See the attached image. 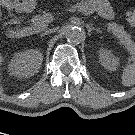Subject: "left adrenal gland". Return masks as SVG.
<instances>
[{
	"mask_svg": "<svg viewBox=\"0 0 135 135\" xmlns=\"http://www.w3.org/2000/svg\"><path fill=\"white\" fill-rule=\"evenodd\" d=\"M86 28L88 29V36H91V32H92V31L101 32V31H100V28L92 27V26L89 25V24H86Z\"/></svg>",
	"mask_w": 135,
	"mask_h": 135,
	"instance_id": "left-adrenal-gland-1",
	"label": "left adrenal gland"
}]
</instances>
